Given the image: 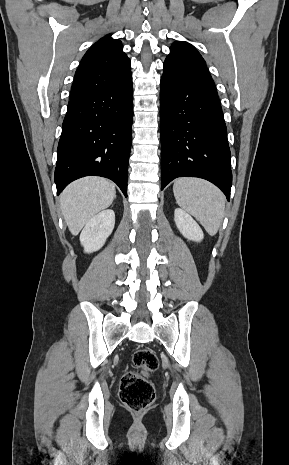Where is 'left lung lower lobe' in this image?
<instances>
[{
    "label": "left lung lower lobe",
    "instance_id": "left-lung-lower-lobe-1",
    "mask_svg": "<svg viewBox=\"0 0 289 465\" xmlns=\"http://www.w3.org/2000/svg\"><path fill=\"white\" fill-rule=\"evenodd\" d=\"M161 189L177 177H199L229 200L227 129L211 77L164 71L160 89Z\"/></svg>",
    "mask_w": 289,
    "mask_h": 465
}]
</instances>
